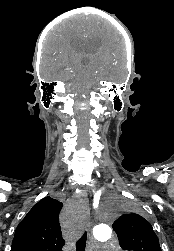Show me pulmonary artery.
<instances>
[{
  "label": "pulmonary artery",
  "mask_w": 174,
  "mask_h": 251,
  "mask_svg": "<svg viewBox=\"0 0 174 251\" xmlns=\"http://www.w3.org/2000/svg\"><path fill=\"white\" fill-rule=\"evenodd\" d=\"M103 247H109V244H104Z\"/></svg>",
  "instance_id": "1"
}]
</instances>
